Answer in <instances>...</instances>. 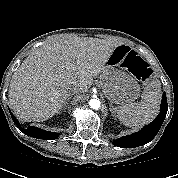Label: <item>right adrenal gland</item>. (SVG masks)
Instances as JSON below:
<instances>
[{
    "mask_svg": "<svg viewBox=\"0 0 178 178\" xmlns=\"http://www.w3.org/2000/svg\"><path fill=\"white\" fill-rule=\"evenodd\" d=\"M70 97H71V96H70ZM70 97L66 100L65 105H64V107L62 108L63 111L66 110V107H67V105H68V101H69Z\"/></svg>",
    "mask_w": 178,
    "mask_h": 178,
    "instance_id": "right-adrenal-gland-1",
    "label": "right adrenal gland"
}]
</instances>
